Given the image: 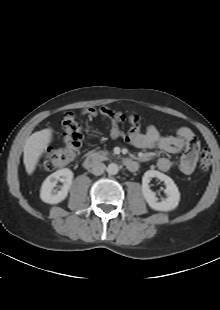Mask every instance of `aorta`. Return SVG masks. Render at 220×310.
Here are the masks:
<instances>
[{
    "mask_svg": "<svg viewBox=\"0 0 220 310\" xmlns=\"http://www.w3.org/2000/svg\"><path fill=\"white\" fill-rule=\"evenodd\" d=\"M106 170L109 175H116L119 171V166L116 163H110Z\"/></svg>",
    "mask_w": 220,
    "mask_h": 310,
    "instance_id": "1",
    "label": "aorta"
}]
</instances>
